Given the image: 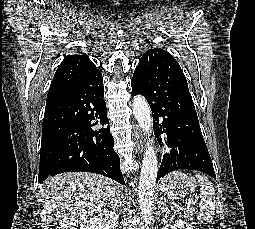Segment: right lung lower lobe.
<instances>
[{
	"instance_id": "obj_1",
	"label": "right lung lower lobe",
	"mask_w": 255,
	"mask_h": 229,
	"mask_svg": "<svg viewBox=\"0 0 255 229\" xmlns=\"http://www.w3.org/2000/svg\"><path fill=\"white\" fill-rule=\"evenodd\" d=\"M97 67L82 75L66 96L46 104L42 130L60 124L63 133L49 167H40L38 182L63 172L98 173L124 184L119 156Z\"/></svg>"
}]
</instances>
